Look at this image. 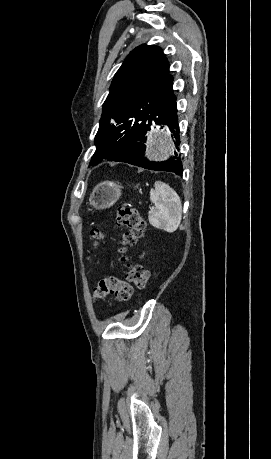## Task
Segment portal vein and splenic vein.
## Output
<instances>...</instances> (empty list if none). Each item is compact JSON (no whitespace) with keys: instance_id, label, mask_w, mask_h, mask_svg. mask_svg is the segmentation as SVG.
<instances>
[{"instance_id":"obj_1","label":"portal vein and splenic vein","mask_w":271,"mask_h":459,"mask_svg":"<svg viewBox=\"0 0 271 459\" xmlns=\"http://www.w3.org/2000/svg\"><path fill=\"white\" fill-rule=\"evenodd\" d=\"M152 207H155V204H152Z\"/></svg>"}]
</instances>
